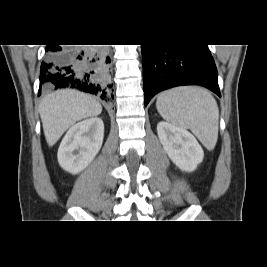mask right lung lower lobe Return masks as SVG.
Masks as SVG:
<instances>
[{
	"instance_id": "obj_1",
	"label": "right lung lower lobe",
	"mask_w": 267,
	"mask_h": 267,
	"mask_svg": "<svg viewBox=\"0 0 267 267\" xmlns=\"http://www.w3.org/2000/svg\"><path fill=\"white\" fill-rule=\"evenodd\" d=\"M107 54L106 47L79 50L47 45L39 94L41 90L72 88L110 100L113 94Z\"/></svg>"
}]
</instances>
